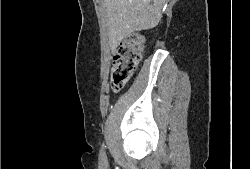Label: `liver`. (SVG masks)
Wrapping results in <instances>:
<instances>
[{"instance_id":"6515ba94","label":"liver","mask_w":250,"mask_h":169,"mask_svg":"<svg viewBox=\"0 0 250 169\" xmlns=\"http://www.w3.org/2000/svg\"><path fill=\"white\" fill-rule=\"evenodd\" d=\"M165 0H104L111 50L135 30L154 28L162 18Z\"/></svg>"}]
</instances>
